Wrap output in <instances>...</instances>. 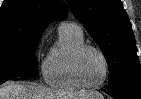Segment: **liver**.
<instances>
[{
    "label": "liver",
    "instance_id": "6515ba94",
    "mask_svg": "<svg viewBox=\"0 0 141 99\" xmlns=\"http://www.w3.org/2000/svg\"><path fill=\"white\" fill-rule=\"evenodd\" d=\"M96 92L64 93L31 83L9 82L0 88V99H87Z\"/></svg>",
    "mask_w": 141,
    "mask_h": 99
}]
</instances>
